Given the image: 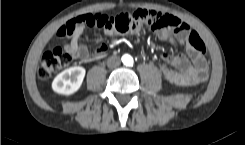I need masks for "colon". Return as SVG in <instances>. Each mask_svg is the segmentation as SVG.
<instances>
[{
    "label": "colon",
    "mask_w": 245,
    "mask_h": 145,
    "mask_svg": "<svg viewBox=\"0 0 245 145\" xmlns=\"http://www.w3.org/2000/svg\"><path fill=\"white\" fill-rule=\"evenodd\" d=\"M90 26H97L109 32L125 33L140 25L154 28H165L170 31L179 32L183 29V23L169 14L155 12L152 10L138 9L135 12H121L116 16L107 13L89 14L86 17ZM79 24V17L68 20L60 29V36L67 38L72 35L73 29ZM190 45L199 52L205 51V44L196 34L189 35ZM71 57L67 50L62 47L48 48L42 57L38 68L41 79L51 77L62 67L70 65Z\"/></svg>",
    "instance_id": "5ec220e1"
}]
</instances>
